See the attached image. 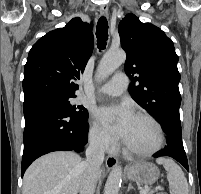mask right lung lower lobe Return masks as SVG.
I'll use <instances>...</instances> for the list:
<instances>
[{
	"mask_svg": "<svg viewBox=\"0 0 201 194\" xmlns=\"http://www.w3.org/2000/svg\"><path fill=\"white\" fill-rule=\"evenodd\" d=\"M24 151L22 176L38 157L53 151H83L88 139V123L60 104L34 97L24 100Z\"/></svg>",
	"mask_w": 201,
	"mask_h": 194,
	"instance_id": "right-lung-lower-lobe-1",
	"label": "right lung lower lobe"
}]
</instances>
